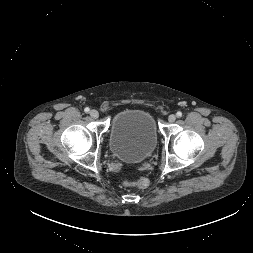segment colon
I'll return each mask as SVG.
<instances>
[{"mask_svg":"<svg viewBox=\"0 0 253 253\" xmlns=\"http://www.w3.org/2000/svg\"><path fill=\"white\" fill-rule=\"evenodd\" d=\"M125 185H127V186H133V187H136L138 189H145L148 186V180L145 179V178H139L135 182H133V183H125Z\"/></svg>","mask_w":253,"mask_h":253,"instance_id":"colon-1","label":"colon"}]
</instances>
